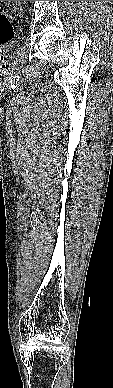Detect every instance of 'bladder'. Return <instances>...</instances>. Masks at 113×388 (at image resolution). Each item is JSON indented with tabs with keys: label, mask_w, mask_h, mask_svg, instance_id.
<instances>
[{
	"label": "bladder",
	"mask_w": 113,
	"mask_h": 388,
	"mask_svg": "<svg viewBox=\"0 0 113 388\" xmlns=\"http://www.w3.org/2000/svg\"><path fill=\"white\" fill-rule=\"evenodd\" d=\"M3 50V47H0V51H2Z\"/></svg>",
	"instance_id": "31cf9c89"
}]
</instances>
